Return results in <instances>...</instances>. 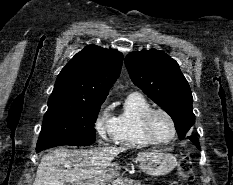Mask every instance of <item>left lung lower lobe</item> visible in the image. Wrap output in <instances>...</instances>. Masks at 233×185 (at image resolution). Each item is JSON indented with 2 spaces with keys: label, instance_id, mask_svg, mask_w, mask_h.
<instances>
[{
  "label": "left lung lower lobe",
  "instance_id": "0a47b994",
  "mask_svg": "<svg viewBox=\"0 0 233 185\" xmlns=\"http://www.w3.org/2000/svg\"><path fill=\"white\" fill-rule=\"evenodd\" d=\"M187 138L190 139L196 145V147L200 150L199 140L197 137L188 136Z\"/></svg>",
  "mask_w": 233,
  "mask_h": 185
}]
</instances>
